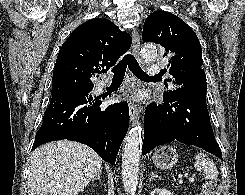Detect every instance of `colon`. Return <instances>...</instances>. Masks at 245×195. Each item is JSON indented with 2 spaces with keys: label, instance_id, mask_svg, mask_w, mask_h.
Instances as JSON below:
<instances>
[{
  "label": "colon",
  "instance_id": "obj_1",
  "mask_svg": "<svg viewBox=\"0 0 245 195\" xmlns=\"http://www.w3.org/2000/svg\"><path fill=\"white\" fill-rule=\"evenodd\" d=\"M215 194V188L212 185H208L205 189L204 195H214Z\"/></svg>",
  "mask_w": 245,
  "mask_h": 195
}]
</instances>
